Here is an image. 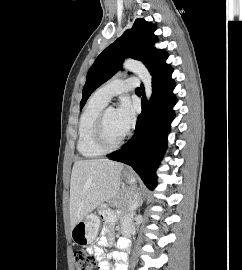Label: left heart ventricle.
Segmentation results:
<instances>
[{
  "instance_id": "b2bd125f",
  "label": "left heart ventricle",
  "mask_w": 242,
  "mask_h": 270,
  "mask_svg": "<svg viewBox=\"0 0 242 270\" xmlns=\"http://www.w3.org/2000/svg\"><path fill=\"white\" fill-rule=\"evenodd\" d=\"M126 131L119 123L117 112L115 109H110L106 118V136L110 144L116 143Z\"/></svg>"
}]
</instances>
